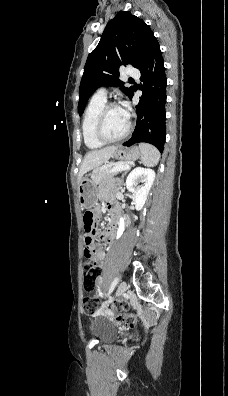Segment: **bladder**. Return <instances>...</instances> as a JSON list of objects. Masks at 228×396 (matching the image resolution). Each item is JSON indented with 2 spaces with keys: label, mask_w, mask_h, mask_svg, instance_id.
<instances>
[{
  "label": "bladder",
  "mask_w": 228,
  "mask_h": 396,
  "mask_svg": "<svg viewBox=\"0 0 228 396\" xmlns=\"http://www.w3.org/2000/svg\"><path fill=\"white\" fill-rule=\"evenodd\" d=\"M90 334L100 342H108L117 336V329L100 318H94L89 323Z\"/></svg>",
  "instance_id": "1"
}]
</instances>
